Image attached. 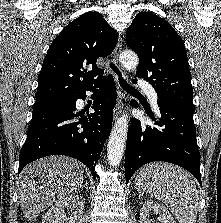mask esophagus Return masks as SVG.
I'll list each match as a JSON object with an SVG mask.
<instances>
[{
	"label": "esophagus",
	"instance_id": "1",
	"mask_svg": "<svg viewBox=\"0 0 221 223\" xmlns=\"http://www.w3.org/2000/svg\"><path fill=\"white\" fill-rule=\"evenodd\" d=\"M122 42H123V39L121 36H119L118 43L115 47L114 54H113V60H114L115 64H117L118 66H119V56H120L121 49H122ZM122 75H123V77H125L124 73H122ZM114 76L117 81L118 75L116 73H114ZM124 98H125V95L122 92L120 86L118 85L117 86V102H116L114 112H113L114 120L121 114V112L124 108Z\"/></svg>",
	"mask_w": 221,
	"mask_h": 223
}]
</instances>
